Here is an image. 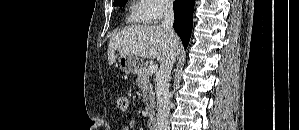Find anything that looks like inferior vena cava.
Instances as JSON below:
<instances>
[{
	"mask_svg": "<svg viewBox=\"0 0 299 130\" xmlns=\"http://www.w3.org/2000/svg\"><path fill=\"white\" fill-rule=\"evenodd\" d=\"M173 23V3L169 1L164 5V19L160 26L169 32L171 41H173L174 43L172 45L169 56L162 62L159 71L156 73L155 92L157 97L158 130H170V94L168 82L170 80V74L173 64L175 63L176 57L179 54V48L178 45H176L177 36L174 33Z\"/></svg>",
	"mask_w": 299,
	"mask_h": 130,
	"instance_id": "obj_1",
	"label": "inferior vena cava"
}]
</instances>
